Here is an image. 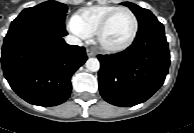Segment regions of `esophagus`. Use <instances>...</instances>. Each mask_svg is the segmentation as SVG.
<instances>
[{"mask_svg":"<svg viewBox=\"0 0 194 133\" xmlns=\"http://www.w3.org/2000/svg\"><path fill=\"white\" fill-rule=\"evenodd\" d=\"M88 55H89V56H91V55H92V53H91L90 51H88Z\"/></svg>","mask_w":194,"mask_h":133,"instance_id":"esophagus-1","label":"esophagus"}]
</instances>
